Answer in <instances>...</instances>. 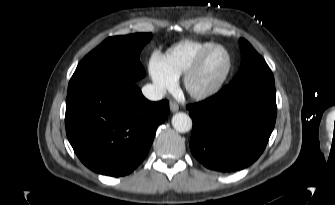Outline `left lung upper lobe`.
<instances>
[{
	"label": "left lung upper lobe",
	"instance_id": "5c2ea615",
	"mask_svg": "<svg viewBox=\"0 0 335 205\" xmlns=\"http://www.w3.org/2000/svg\"><path fill=\"white\" fill-rule=\"evenodd\" d=\"M241 49V66L231 83L261 81L275 85L274 76L265 60L245 39L239 40Z\"/></svg>",
	"mask_w": 335,
	"mask_h": 205
}]
</instances>
